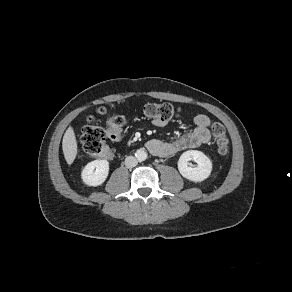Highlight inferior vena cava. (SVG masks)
<instances>
[{"label": "inferior vena cava", "instance_id": "1", "mask_svg": "<svg viewBox=\"0 0 292 292\" xmlns=\"http://www.w3.org/2000/svg\"><path fill=\"white\" fill-rule=\"evenodd\" d=\"M138 164L137 159L134 156H128L125 159V166L127 168H133Z\"/></svg>", "mask_w": 292, "mask_h": 292}]
</instances>
